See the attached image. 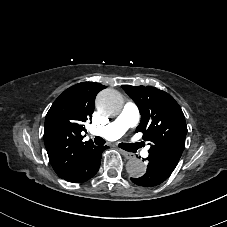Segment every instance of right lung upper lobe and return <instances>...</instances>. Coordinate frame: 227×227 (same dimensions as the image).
<instances>
[{"label": "right lung upper lobe", "instance_id": "obj_1", "mask_svg": "<svg viewBox=\"0 0 227 227\" xmlns=\"http://www.w3.org/2000/svg\"><path fill=\"white\" fill-rule=\"evenodd\" d=\"M102 84L82 82L66 89L49 109L44 126V143L50 163L58 176L63 175L90 148L92 140L83 141V123L92 118L95 97Z\"/></svg>", "mask_w": 227, "mask_h": 227}]
</instances>
